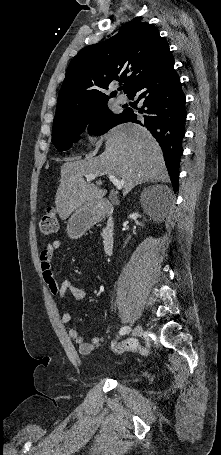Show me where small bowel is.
<instances>
[{
	"mask_svg": "<svg viewBox=\"0 0 221 455\" xmlns=\"http://www.w3.org/2000/svg\"><path fill=\"white\" fill-rule=\"evenodd\" d=\"M61 247V243L55 240L49 243L41 252L39 258V267L42 273V279L48 288L49 292L58 298H63L66 293H70L75 299L81 300L87 297V291L76 287L70 281H63L58 283L55 279L54 271L52 268V261L56 256L57 252ZM71 320L69 312L64 311L61 314V321L64 324H68ZM68 334L72 340H74L79 347V351L82 354H89L96 349L97 344L85 342L80 335L79 331L75 328H70Z\"/></svg>",
	"mask_w": 221,
	"mask_h": 455,
	"instance_id": "obj_1",
	"label": "small bowel"
}]
</instances>
